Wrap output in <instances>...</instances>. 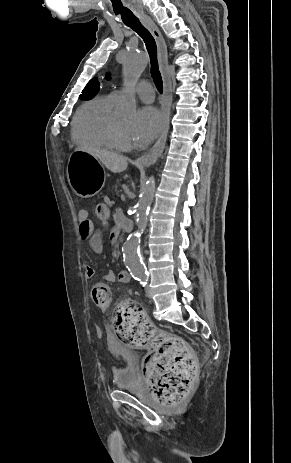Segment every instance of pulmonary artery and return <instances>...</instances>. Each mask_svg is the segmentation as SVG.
I'll return each instance as SVG.
<instances>
[{
  "label": "pulmonary artery",
  "instance_id": "1",
  "mask_svg": "<svg viewBox=\"0 0 291 463\" xmlns=\"http://www.w3.org/2000/svg\"><path fill=\"white\" fill-rule=\"evenodd\" d=\"M133 92L144 102L151 103L154 100V89L147 81H141L133 89ZM113 97L119 100L121 97V91L114 90L112 92Z\"/></svg>",
  "mask_w": 291,
  "mask_h": 463
}]
</instances>
